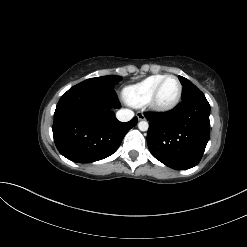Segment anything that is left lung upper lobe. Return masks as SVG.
<instances>
[{
  "instance_id": "obj_1",
  "label": "left lung upper lobe",
  "mask_w": 247,
  "mask_h": 247,
  "mask_svg": "<svg viewBox=\"0 0 247 247\" xmlns=\"http://www.w3.org/2000/svg\"><path fill=\"white\" fill-rule=\"evenodd\" d=\"M181 84L183 85L182 90V100L188 98L193 93L200 91L194 84H192L188 79L178 76Z\"/></svg>"
}]
</instances>
